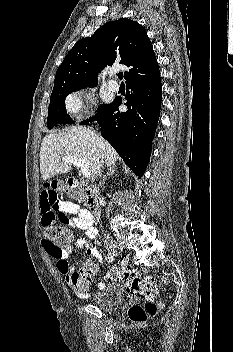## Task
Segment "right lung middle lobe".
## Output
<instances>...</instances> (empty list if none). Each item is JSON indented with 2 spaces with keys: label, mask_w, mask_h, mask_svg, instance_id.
I'll list each match as a JSON object with an SVG mask.
<instances>
[{
  "label": "right lung middle lobe",
  "mask_w": 233,
  "mask_h": 352,
  "mask_svg": "<svg viewBox=\"0 0 233 352\" xmlns=\"http://www.w3.org/2000/svg\"><path fill=\"white\" fill-rule=\"evenodd\" d=\"M94 85H65L54 87L48 110L47 126L48 129L53 128L59 123H72V119L66 112L65 97L73 91L80 90L85 87H93ZM105 105L99 107L102 108Z\"/></svg>",
  "instance_id": "obj_1"
}]
</instances>
